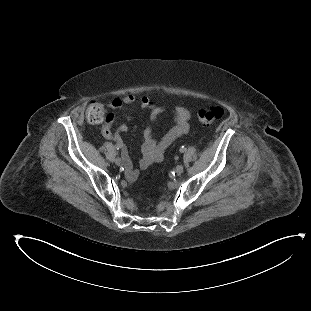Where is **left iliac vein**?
I'll use <instances>...</instances> for the list:
<instances>
[{
    "label": "left iliac vein",
    "mask_w": 311,
    "mask_h": 311,
    "mask_svg": "<svg viewBox=\"0 0 311 311\" xmlns=\"http://www.w3.org/2000/svg\"><path fill=\"white\" fill-rule=\"evenodd\" d=\"M183 171H184V167H183V165H177V167L175 168V173L177 174V175H180V174H182L183 173Z\"/></svg>",
    "instance_id": "left-iliac-vein-1"
}]
</instances>
